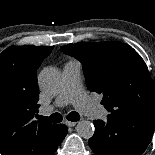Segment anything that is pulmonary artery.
<instances>
[{
	"label": "pulmonary artery",
	"instance_id": "pulmonary-artery-1",
	"mask_svg": "<svg viewBox=\"0 0 155 155\" xmlns=\"http://www.w3.org/2000/svg\"><path fill=\"white\" fill-rule=\"evenodd\" d=\"M73 104L82 114L92 119H103L107 111L85 93L82 85V66L76 60H70L63 67V85L55 100V106L64 107ZM52 106L42 108V114L52 111Z\"/></svg>",
	"mask_w": 155,
	"mask_h": 155
}]
</instances>
